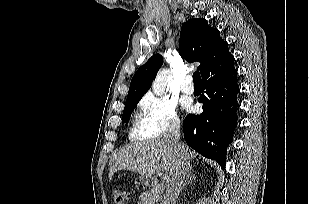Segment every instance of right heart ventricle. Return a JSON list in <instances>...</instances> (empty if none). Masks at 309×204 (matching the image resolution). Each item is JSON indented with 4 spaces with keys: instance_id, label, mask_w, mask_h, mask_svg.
Segmentation results:
<instances>
[{
    "instance_id": "e07e8e85",
    "label": "right heart ventricle",
    "mask_w": 309,
    "mask_h": 204,
    "mask_svg": "<svg viewBox=\"0 0 309 204\" xmlns=\"http://www.w3.org/2000/svg\"><path fill=\"white\" fill-rule=\"evenodd\" d=\"M135 125L137 126V128H139V127H140V125H141V121L136 120V121H135Z\"/></svg>"
}]
</instances>
